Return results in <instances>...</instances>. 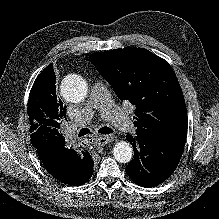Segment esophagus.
<instances>
[{"label":"esophagus","mask_w":219,"mask_h":219,"mask_svg":"<svg viewBox=\"0 0 219 219\" xmlns=\"http://www.w3.org/2000/svg\"><path fill=\"white\" fill-rule=\"evenodd\" d=\"M114 137L112 135H103L97 138V143L99 146H105L113 141Z\"/></svg>","instance_id":"esophagus-1"}]
</instances>
